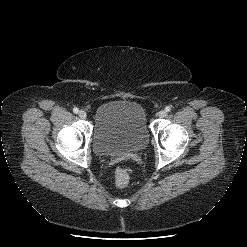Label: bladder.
Listing matches in <instances>:
<instances>
[{
  "mask_svg": "<svg viewBox=\"0 0 247 247\" xmlns=\"http://www.w3.org/2000/svg\"><path fill=\"white\" fill-rule=\"evenodd\" d=\"M144 107L137 101L111 100L94 114L92 144L99 156H121L143 150L149 142Z\"/></svg>",
  "mask_w": 247,
  "mask_h": 247,
  "instance_id": "bladder-1",
  "label": "bladder"
}]
</instances>
